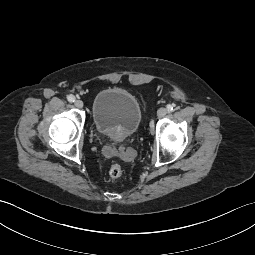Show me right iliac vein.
I'll return each instance as SVG.
<instances>
[{
	"mask_svg": "<svg viewBox=\"0 0 255 255\" xmlns=\"http://www.w3.org/2000/svg\"><path fill=\"white\" fill-rule=\"evenodd\" d=\"M74 105H75L77 108L81 109V108H83L84 103H83L81 100H76L75 103H74Z\"/></svg>",
	"mask_w": 255,
	"mask_h": 255,
	"instance_id": "right-iliac-vein-1",
	"label": "right iliac vein"
}]
</instances>
